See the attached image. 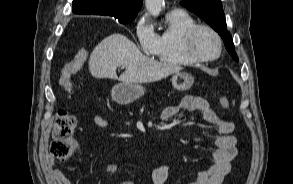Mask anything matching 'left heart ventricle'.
Returning a JSON list of instances; mask_svg holds the SVG:
<instances>
[{
  "instance_id": "obj_1",
  "label": "left heart ventricle",
  "mask_w": 293,
  "mask_h": 184,
  "mask_svg": "<svg viewBox=\"0 0 293 184\" xmlns=\"http://www.w3.org/2000/svg\"><path fill=\"white\" fill-rule=\"evenodd\" d=\"M193 48L198 55L210 57L217 53L218 44L215 37L211 33L202 30L196 35Z\"/></svg>"
}]
</instances>
